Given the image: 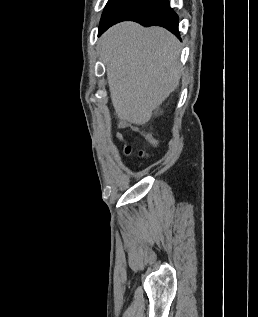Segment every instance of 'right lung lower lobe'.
I'll return each instance as SVG.
<instances>
[{"label":"right lung lower lobe","mask_w":258,"mask_h":317,"mask_svg":"<svg viewBox=\"0 0 258 317\" xmlns=\"http://www.w3.org/2000/svg\"><path fill=\"white\" fill-rule=\"evenodd\" d=\"M136 21L143 26H161L179 36L178 16L170 8L169 0H109L99 25L100 36L121 21Z\"/></svg>","instance_id":"98d812e1"}]
</instances>
